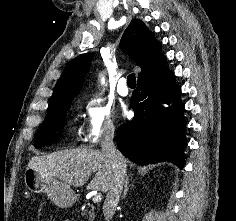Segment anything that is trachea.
Instances as JSON below:
<instances>
[{
  "label": "trachea",
  "mask_w": 236,
  "mask_h": 221,
  "mask_svg": "<svg viewBox=\"0 0 236 221\" xmlns=\"http://www.w3.org/2000/svg\"><path fill=\"white\" fill-rule=\"evenodd\" d=\"M127 84H128V86H136L135 73H131L130 75H128Z\"/></svg>",
  "instance_id": "1"
}]
</instances>
